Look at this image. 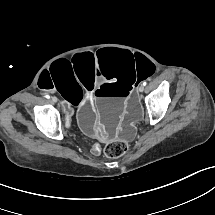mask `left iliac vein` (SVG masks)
I'll list each match as a JSON object with an SVG mask.
<instances>
[{"mask_svg": "<svg viewBox=\"0 0 215 215\" xmlns=\"http://www.w3.org/2000/svg\"><path fill=\"white\" fill-rule=\"evenodd\" d=\"M144 89H145L144 85L140 84L139 87H138L139 92H143Z\"/></svg>", "mask_w": 215, "mask_h": 215, "instance_id": "1", "label": "left iliac vein"}]
</instances>
